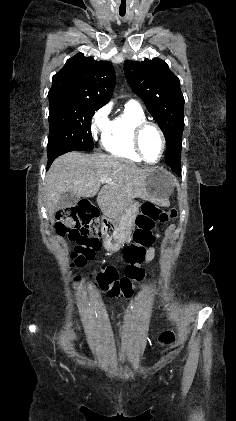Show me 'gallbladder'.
<instances>
[{
  "label": "gallbladder",
  "instance_id": "obj_1",
  "mask_svg": "<svg viewBox=\"0 0 236 421\" xmlns=\"http://www.w3.org/2000/svg\"><path fill=\"white\" fill-rule=\"evenodd\" d=\"M79 198L80 196L73 194V192H63L55 206V211H63V208H70L75 202H78Z\"/></svg>",
  "mask_w": 236,
  "mask_h": 421
}]
</instances>
